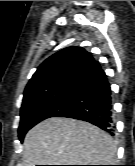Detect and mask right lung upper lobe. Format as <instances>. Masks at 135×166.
Instances as JSON below:
<instances>
[{
    "mask_svg": "<svg viewBox=\"0 0 135 166\" xmlns=\"http://www.w3.org/2000/svg\"><path fill=\"white\" fill-rule=\"evenodd\" d=\"M98 68L99 62L82 47L62 49L38 67L25 88L23 103L68 86Z\"/></svg>",
    "mask_w": 135,
    "mask_h": 166,
    "instance_id": "right-lung-upper-lobe-1",
    "label": "right lung upper lobe"
}]
</instances>
